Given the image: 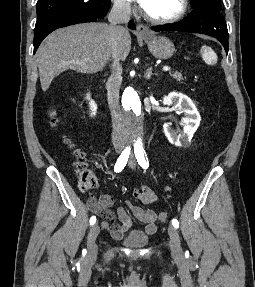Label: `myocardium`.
I'll use <instances>...</instances> for the list:
<instances>
[{
	"label": "myocardium",
	"mask_w": 255,
	"mask_h": 287,
	"mask_svg": "<svg viewBox=\"0 0 255 287\" xmlns=\"http://www.w3.org/2000/svg\"><path fill=\"white\" fill-rule=\"evenodd\" d=\"M139 33H149V32H139ZM168 33H175V32H168ZM130 39H137V38H130ZM145 39H153V38H145ZM166 39H175V38H166ZM134 48V47H130ZM146 48H152V47H146Z\"/></svg>",
	"instance_id": "f54148a6"
}]
</instances>
